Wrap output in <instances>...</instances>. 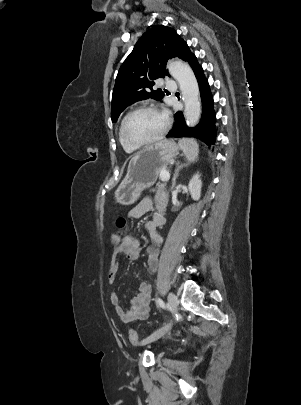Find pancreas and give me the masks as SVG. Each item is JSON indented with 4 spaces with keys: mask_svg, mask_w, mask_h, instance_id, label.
Returning a JSON list of instances; mask_svg holds the SVG:
<instances>
[{
    "mask_svg": "<svg viewBox=\"0 0 301 405\" xmlns=\"http://www.w3.org/2000/svg\"><path fill=\"white\" fill-rule=\"evenodd\" d=\"M162 171H166V168L161 169L160 173ZM155 203H156L157 209H159L161 211H165L167 203H168V195L166 194V192L164 190V185L161 183L157 184Z\"/></svg>",
    "mask_w": 301,
    "mask_h": 405,
    "instance_id": "pancreas-1",
    "label": "pancreas"
}]
</instances>
